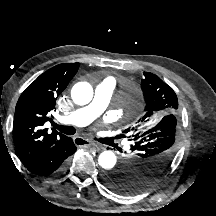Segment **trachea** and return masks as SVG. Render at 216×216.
<instances>
[{
	"label": "trachea",
	"mask_w": 216,
	"mask_h": 216,
	"mask_svg": "<svg viewBox=\"0 0 216 216\" xmlns=\"http://www.w3.org/2000/svg\"><path fill=\"white\" fill-rule=\"evenodd\" d=\"M53 127L67 135H73L76 132L75 128L72 126H61V125L53 123Z\"/></svg>",
	"instance_id": "1"
}]
</instances>
